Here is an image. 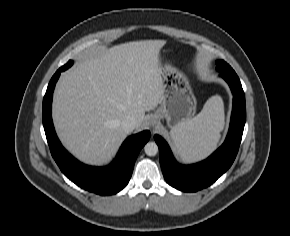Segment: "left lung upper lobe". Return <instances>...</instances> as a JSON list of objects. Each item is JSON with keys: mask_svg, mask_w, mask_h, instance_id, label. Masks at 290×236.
<instances>
[{"mask_svg": "<svg viewBox=\"0 0 290 236\" xmlns=\"http://www.w3.org/2000/svg\"><path fill=\"white\" fill-rule=\"evenodd\" d=\"M217 70L225 71V70H233L225 61L219 60L216 62Z\"/></svg>", "mask_w": 290, "mask_h": 236, "instance_id": "left-lung-upper-lobe-1", "label": "left lung upper lobe"}]
</instances>
